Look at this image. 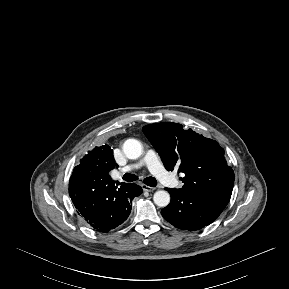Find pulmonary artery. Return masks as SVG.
Masks as SVG:
<instances>
[{
  "instance_id": "pulmonary-artery-1",
  "label": "pulmonary artery",
  "mask_w": 289,
  "mask_h": 289,
  "mask_svg": "<svg viewBox=\"0 0 289 289\" xmlns=\"http://www.w3.org/2000/svg\"><path fill=\"white\" fill-rule=\"evenodd\" d=\"M146 166L149 171L164 184L170 183V176L161 164L157 154L153 150H147L144 157L135 164L127 165L121 169L122 172H130Z\"/></svg>"
}]
</instances>
